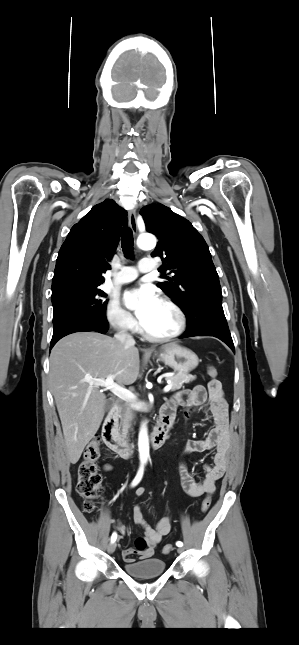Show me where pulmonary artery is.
Instances as JSON below:
<instances>
[{"label": "pulmonary artery", "instance_id": "1", "mask_svg": "<svg viewBox=\"0 0 299 645\" xmlns=\"http://www.w3.org/2000/svg\"><path fill=\"white\" fill-rule=\"evenodd\" d=\"M157 266L154 260L150 258H143L138 267L125 266L115 275L114 280L116 283L125 284L135 280L139 273H147L156 270Z\"/></svg>", "mask_w": 299, "mask_h": 645}]
</instances>
